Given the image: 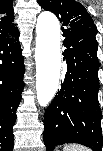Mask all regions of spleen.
<instances>
[{"mask_svg": "<svg viewBox=\"0 0 103 151\" xmlns=\"http://www.w3.org/2000/svg\"><path fill=\"white\" fill-rule=\"evenodd\" d=\"M63 151H91V149L82 145L71 144L64 146Z\"/></svg>", "mask_w": 103, "mask_h": 151, "instance_id": "obj_1", "label": "spleen"}]
</instances>
